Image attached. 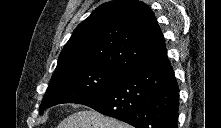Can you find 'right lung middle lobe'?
<instances>
[{
    "mask_svg": "<svg viewBox=\"0 0 221 128\" xmlns=\"http://www.w3.org/2000/svg\"><path fill=\"white\" fill-rule=\"evenodd\" d=\"M125 73L98 66L55 71L46 90L40 113L61 103H78L115 83Z\"/></svg>",
    "mask_w": 221,
    "mask_h": 128,
    "instance_id": "right-lung-middle-lobe-1",
    "label": "right lung middle lobe"
}]
</instances>
